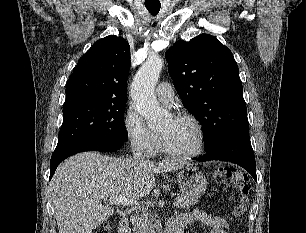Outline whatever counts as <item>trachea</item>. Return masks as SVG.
Masks as SVG:
<instances>
[{
	"instance_id": "obj_1",
	"label": "trachea",
	"mask_w": 306,
	"mask_h": 233,
	"mask_svg": "<svg viewBox=\"0 0 306 233\" xmlns=\"http://www.w3.org/2000/svg\"><path fill=\"white\" fill-rule=\"evenodd\" d=\"M147 10L151 13V15H157L160 11V4H145Z\"/></svg>"
}]
</instances>
